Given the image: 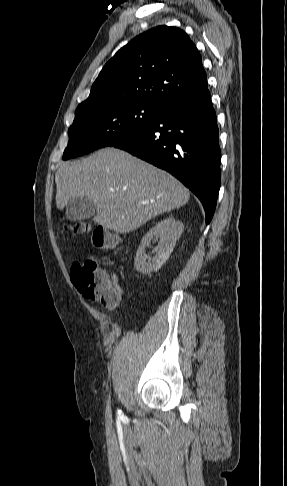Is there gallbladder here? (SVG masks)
Masks as SVG:
<instances>
[{"instance_id": "1", "label": "gallbladder", "mask_w": 287, "mask_h": 486, "mask_svg": "<svg viewBox=\"0 0 287 486\" xmlns=\"http://www.w3.org/2000/svg\"><path fill=\"white\" fill-rule=\"evenodd\" d=\"M96 213L95 205L85 196L73 197L66 206L65 216L69 221L89 219Z\"/></svg>"}]
</instances>
